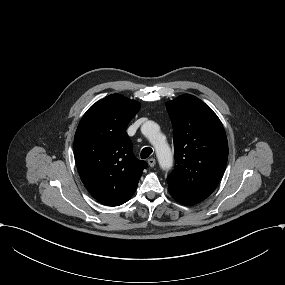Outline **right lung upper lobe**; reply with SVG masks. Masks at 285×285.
I'll return each mask as SVG.
<instances>
[{"label":"right lung upper lobe","mask_w":285,"mask_h":285,"mask_svg":"<svg viewBox=\"0 0 285 285\" xmlns=\"http://www.w3.org/2000/svg\"><path fill=\"white\" fill-rule=\"evenodd\" d=\"M139 109V102L112 94L92 105L76 130L77 169L87 190L102 204L118 206L128 201L148 166L133 155L126 133Z\"/></svg>","instance_id":"obj_1"}]
</instances>
